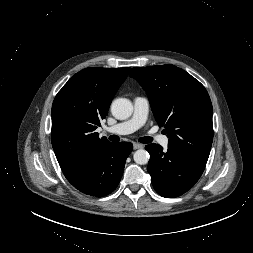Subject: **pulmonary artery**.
Returning <instances> with one entry per match:
<instances>
[{
    "label": "pulmonary artery",
    "instance_id": "pulmonary-artery-1",
    "mask_svg": "<svg viewBox=\"0 0 253 253\" xmlns=\"http://www.w3.org/2000/svg\"><path fill=\"white\" fill-rule=\"evenodd\" d=\"M149 107L150 103L146 97L140 96L136 97L133 101L132 117L127 121H124L122 123L107 128L105 132L116 135H126L133 133L134 131L138 130L145 124L148 118ZM157 140L164 148L168 147L169 144L168 137L158 136Z\"/></svg>",
    "mask_w": 253,
    "mask_h": 253
}]
</instances>
